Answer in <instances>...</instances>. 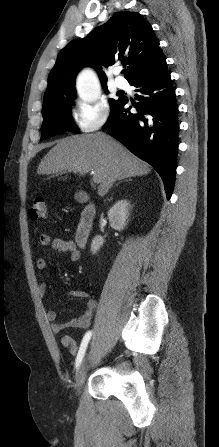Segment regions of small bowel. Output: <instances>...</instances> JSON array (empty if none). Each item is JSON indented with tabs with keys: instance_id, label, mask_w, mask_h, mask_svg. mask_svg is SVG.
Returning a JSON list of instances; mask_svg holds the SVG:
<instances>
[{
	"instance_id": "small-bowel-1",
	"label": "small bowel",
	"mask_w": 219,
	"mask_h": 447,
	"mask_svg": "<svg viewBox=\"0 0 219 447\" xmlns=\"http://www.w3.org/2000/svg\"><path fill=\"white\" fill-rule=\"evenodd\" d=\"M39 244L44 247H51V249L57 253L68 252L71 261H78L80 259V251L77 248L75 242L71 239L65 238H53L49 234H42L39 238ZM47 267V261L43 258L38 259L36 262V268L39 272H42ZM38 291L40 294H45L47 292V282L41 278ZM67 296L71 299H86V304L83 313L68 322L61 323L57 322V312L55 310H48L46 313V319L51 323L50 328L53 333H60L62 330L67 328H87L92 320L93 313L95 310V300L92 299L89 294L82 289H70L67 291ZM61 343L66 347L71 354L75 355L78 351V345L69 336L63 335L61 337Z\"/></svg>"
}]
</instances>
